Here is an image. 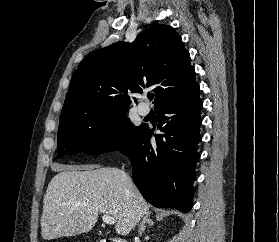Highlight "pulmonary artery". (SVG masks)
Returning a JSON list of instances; mask_svg holds the SVG:
<instances>
[{
    "label": "pulmonary artery",
    "mask_w": 279,
    "mask_h": 242,
    "mask_svg": "<svg viewBox=\"0 0 279 242\" xmlns=\"http://www.w3.org/2000/svg\"><path fill=\"white\" fill-rule=\"evenodd\" d=\"M149 112H150V108L147 105H145L143 103L139 104L138 113L140 115L147 116L149 114Z\"/></svg>",
    "instance_id": "e3ab8cb5"
}]
</instances>
